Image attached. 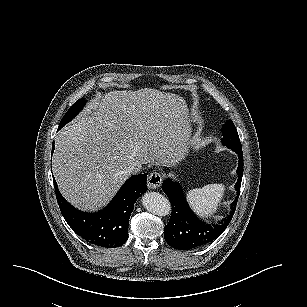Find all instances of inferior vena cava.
I'll list each match as a JSON object with an SVG mask.
<instances>
[{"instance_id": "1", "label": "inferior vena cava", "mask_w": 307, "mask_h": 307, "mask_svg": "<svg viewBox=\"0 0 307 307\" xmlns=\"http://www.w3.org/2000/svg\"><path fill=\"white\" fill-rule=\"evenodd\" d=\"M139 172H140V169L137 166H130L125 171V173L128 174V176L138 174Z\"/></svg>"}]
</instances>
